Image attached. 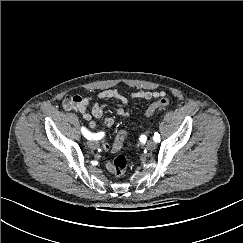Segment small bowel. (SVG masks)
<instances>
[{
	"label": "small bowel",
	"mask_w": 243,
	"mask_h": 243,
	"mask_svg": "<svg viewBox=\"0 0 243 243\" xmlns=\"http://www.w3.org/2000/svg\"><path fill=\"white\" fill-rule=\"evenodd\" d=\"M164 93L163 92H159V91H147V90H141V91H136L131 93V97L133 99H140V100H150L153 98H158L163 96ZM98 97L100 99L103 100H116L118 101V105L116 107V112L118 115L121 116H128L129 112L126 109V105H127V98L122 95L118 90L116 89H110V90H105L101 93H99ZM92 101V98L90 97H85L82 99V101L76 106V110L79 111L82 115V117L88 121L89 126L91 128H95L96 127V122L94 120H92V117H95L97 119H101L102 123L107 126L110 127L114 124V119L111 116H103V112L104 109L106 107L105 103H100V102H96L93 105L92 108V112L90 113L88 110V105L89 103ZM102 133V132H100ZM103 134V133H102ZM102 148L107 151L109 149L108 144L103 143ZM113 151V148H112ZM106 168L109 172H113V163L110 161L106 162Z\"/></svg>",
	"instance_id": "obj_1"
}]
</instances>
